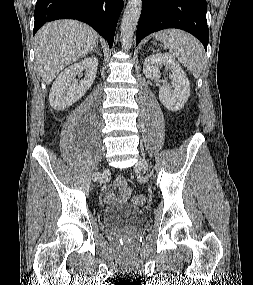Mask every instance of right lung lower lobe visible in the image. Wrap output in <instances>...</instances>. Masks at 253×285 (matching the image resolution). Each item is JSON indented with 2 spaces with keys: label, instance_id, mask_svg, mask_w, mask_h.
<instances>
[{
  "label": "right lung lower lobe",
  "instance_id": "1",
  "mask_svg": "<svg viewBox=\"0 0 253 285\" xmlns=\"http://www.w3.org/2000/svg\"><path fill=\"white\" fill-rule=\"evenodd\" d=\"M123 0H37L33 35L46 22L76 19L89 24L111 48Z\"/></svg>",
  "mask_w": 253,
  "mask_h": 285
}]
</instances>
